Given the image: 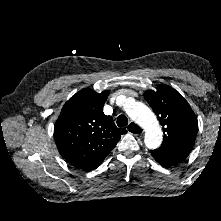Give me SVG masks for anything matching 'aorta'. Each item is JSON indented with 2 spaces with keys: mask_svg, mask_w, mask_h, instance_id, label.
I'll return each mask as SVG.
<instances>
[{
  "mask_svg": "<svg viewBox=\"0 0 221 221\" xmlns=\"http://www.w3.org/2000/svg\"><path fill=\"white\" fill-rule=\"evenodd\" d=\"M124 109L127 115L145 130L144 143L149 149H157L162 143V131L155 114L143 103L128 99Z\"/></svg>",
  "mask_w": 221,
  "mask_h": 221,
  "instance_id": "762f6f07",
  "label": "aorta"
}]
</instances>
